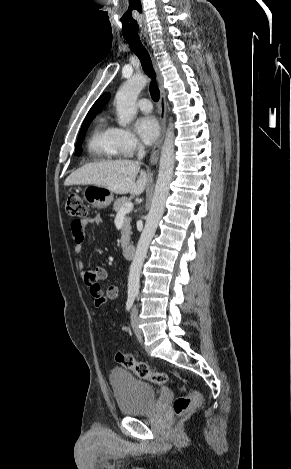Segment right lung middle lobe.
<instances>
[{
	"mask_svg": "<svg viewBox=\"0 0 291 469\" xmlns=\"http://www.w3.org/2000/svg\"><path fill=\"white\" fill-rule=\"evenodd\" d=\"M93 117H87L85 118L83 124H82V127H81V130H80V134H79V137H78V140H77V144H76V155H80L81 154V149H80V146H81V142L84 138V135H85V132L90 124V122L92 121Z\"/></svg>",
	"mask_w": 291,
	"mask_h": 469,
	"instance_id": "1",
	"label": "right lung middle lobe"
}]
</instances>
